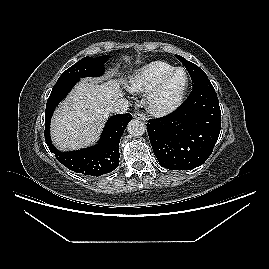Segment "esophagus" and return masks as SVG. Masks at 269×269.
Wrapping results in <instances>:
<instances>
[{"label":"esophagus","mask_w":269,"mask_h":269,"mask_svg":"<svg viewBox=\"0 0 269 269\" xmlns=\"http://www.w3.org/2000/svg\"><path fill=\"white\" fill-rule=\"evenodd\" d=\"M133 117L135 119H138V120H141V121H146L147 120L146 117H145V115L142 114V113H140V112H138V111L133 114Z\"/></svg>","instance_id":"34e87169"}]
</instances>
